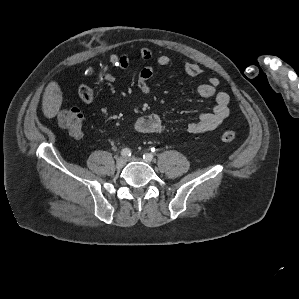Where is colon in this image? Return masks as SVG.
Returning <instances> with one entry per match:
<instances>
[{"label": "colon", "mask_w": 299, "mask_h": 299, "mask_svg": "<svg viewBox=\"0 0 299 299\" xmlns=\"http://www.w3.org/2000/svg\"><path fill=\"white\" fill-rule=\"evenodd\" d=\"M83 119V113L77 107L62 109L57 115L59 126L75 138L83 135ZM236 137L237 133L233 130H226L220 134V139L224 142H231Z\"/></svg>", "instance_id": "1"}]
</instances>
